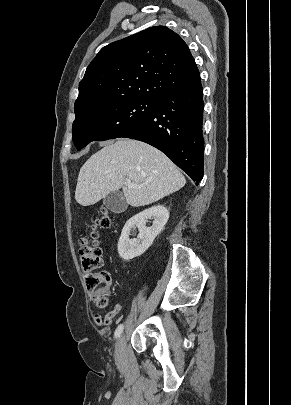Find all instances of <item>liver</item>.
I'll return each mask as SVG.
<instances>
[{"instance_id":"liver-1","label":"liver","mask_w":291,"mask_h":405,"mask_svg":"<svg viewBox=\"0 0 291 405\" xmlns=\"http://www.w3.org/2000/svg\"><path fill=\"white\" fill-rule=\"evenodd\" d=\"M127 180L136 187H128ZM185 184V177L161 151L141 141L119 139L93 154L81 167L75 199L88 206L122 188L126 202L139 207L156 202Z\"/></svg>"}]
</instances>
